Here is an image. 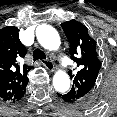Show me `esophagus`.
<instances>
[{
	"mask_svg": "<svg viewBox=\"0 0 117 117\" xmlns=\"http://www.w3.org/2000/svg\"><path fill=\"white\" fill-rule=\"evenodd\" d=\"M42 64L51 72L55 70L54 63L51 59L47 58L46 60L42 61Z\"/></svg>",
	"mask_w": 117,
	"mask_h": 117,
	"instance_id": "1",
	"label": "esophagus"
}]
</instances>
